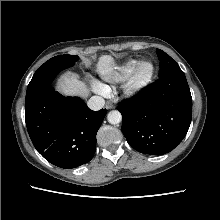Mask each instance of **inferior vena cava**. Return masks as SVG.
<instances>
[{
  "label": "inferior vena cava",
  "mask_w": 220,
  "mask_h": 220,
  "mask_svg": "<svg viewBox=\"0 0 220 220\" xmlns=\"http://www.w3.org/2000/svg\"><path fill=\"white\" fill-rule=\"evenodd\" d=\"M87 105L91 110L97 111V110H100L104 107L105 100L99 96H92L88 100Z\"/></svg>",
  "instance_id": "602c4592"
}]
</instances>
